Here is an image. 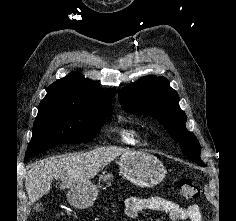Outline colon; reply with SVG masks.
I'll return each mask as SVG.
<instances>
[{
    "label": "colon",
    "instance_id": "obj_1",
    "mask_svg": "<svg viewBox=\"0 0 236 221\" xmlns=\"http://www.w3.org/2000/svg\"><path fill=\"white\" fill-rule=\"evenodd\" d=\"M178 190L182 199L191 200L199 196L197 186L188 178H182L178 181Z\"/></svg>",
    "mask_w": 236,
    "mask_h": 221
}]
</instances>
